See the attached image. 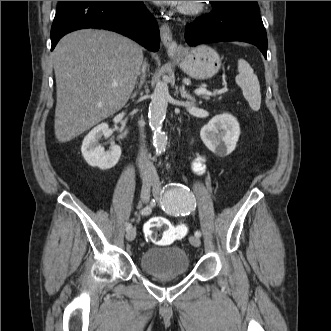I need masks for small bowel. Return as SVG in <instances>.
<instances>
[{
	"mask_svg": "<svg viewBox=\"0 0 331 331\" xmlns=\"http://www.w3.org/2000/svg\"><path fill=\"white\" fill-rule=\"evenodd\" d=\"M192 169L196 174H203L205 172V160L203 157H197L192 162Z\"/></svg>",
	"mask_w": 331,
	"mask_h": 331,
	"instance_id": "small-bowel-1",
	"label": "small bowel"
}]
</instances>
